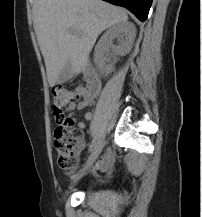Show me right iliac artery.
<instances>
[{
  "mask_svg": "<svg viewBox=\"0 0 202 217\" xmlns=\"http://www.w3.org/2000/svg\"><path fill=\"white\" fill-rule=\"evenodd\" d=\"M95 145H96V139H94V140L92 141V143L90 144V146H89V152L93 151Z\"/></svg>",
  "mask_w": 202,
  "mask_h": 217,
  "instance_id": "82829eb1",
  "label": "right iliac artery"
}]
</instances>
